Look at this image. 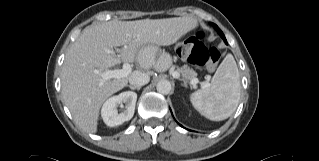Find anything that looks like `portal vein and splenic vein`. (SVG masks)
<instances>
[{"instance_id": "1", "label": "portal vein and splenic vein", "mask_w": 319, "mask_h": 161, "mask_svg": "<svg viewBox=\"0 0 319 161\" xmlns=\"http://www.w3.org/2000/svg\"><path fill=\"white\" fill-rule=\"evenodd\" d=\"M97 74H99L102 77V80H108L112 78H123L128 76L131 73V65L129 63H124L122 69H115V70H106L104 72H99L98 70H95ZM174 78H179L180 74L177 71H174L172 73ZM192 84H197L198 79L194 78L192 79Z\"/></svg>"}]
</instances>
